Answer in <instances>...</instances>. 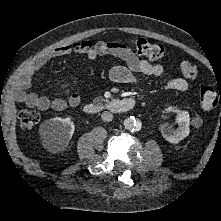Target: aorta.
Instances as JSON below:
<instances>
[{"instance_id":"aorta-1","label":"aorta","mask_w":221,"mask_h":221,"mask_svg":"<svg viewBox=\"0 0 221 221\" xmlns=\"http://www.w3.org/2000/svg\"><path fill=\"white\" fill-rule=\"evenodd\" d=\"M125 129L129 131H139L141 130L142 123L135 117H128L123 122Z\"/></svg>"}]
</instances>
